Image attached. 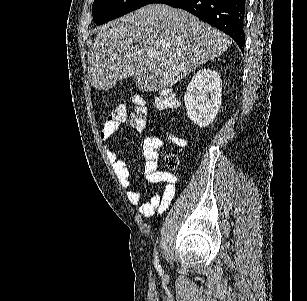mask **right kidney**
<instances>
[{
  "label": "right kidney",
  "mask_w": 307,
  "mask_h": 301,
  "mask_svg": "<svg viewBox=\"0 0 307 301\" xmlns=\"http://www.w3.org/2000/svg\"><path fill=\"white\" fill-rule=\"evenodd\" d=\"M187 114L197 126H209L222 102V80L219 72L201 68L192 76L184 94Z\"/></svg>",
  "instance_id": "1"
}]
</instances>
